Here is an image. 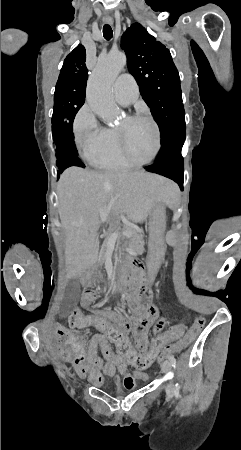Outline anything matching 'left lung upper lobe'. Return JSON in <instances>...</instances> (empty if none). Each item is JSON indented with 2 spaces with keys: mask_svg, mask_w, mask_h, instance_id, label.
<instances>
[{
  "mask_svg": "<svg viewBox=\"0 0 241 450\" xmlns=\"http://www.w3.org/2000/svg\"><path fill=\"white\" fill-rule=\"evenodd\" d=\"M127 67L151 108L161 133V144L172 132L186 127L180 78L170 51L139 23L122 36Z\"/></svg>",
  "mask_w": 241,
  "mask_h": 450,
  "instance_id": "5c2ea615",
  "label": "left lung upper lobe"
}]
</instances>
